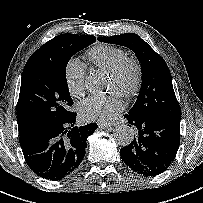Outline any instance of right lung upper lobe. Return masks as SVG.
Segmentation results:
<instances>
[{
    "label": "right lung upper lobe",
    "mask_w": 203,
    "mask_h": 203,
    "mask_svg": "<svg viewBox=\"0 0 203 203\" xmlns=\"http://www.w3.org/2000/svg\"><path fill=\"white\" fill-rule=\"evenodd\" d=\"M78 36L77 34H61L50 41L46 42L43 46H41L38 50H36L32 56L29 58L28 62L37 60L40 58L47 57L54 53L59 47L73 39L74 37ZM17 122H18V130L19 135H23L34 130L30 127L23 119V117L17 113Z\"/></svg>",
    "instance_id": "cb5924a9"
}]
</instances>
